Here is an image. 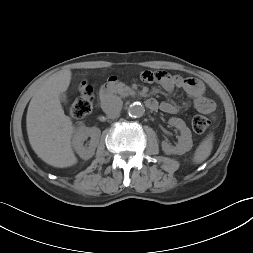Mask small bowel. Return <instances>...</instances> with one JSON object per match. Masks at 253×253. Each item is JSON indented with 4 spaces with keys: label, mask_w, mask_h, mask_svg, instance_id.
I'll use <instances>...</instances> for the list:
<instances>
[{
    "label": "small bowel",
    "mask_w": 253,
    "mask_h": 253,
    "mask_svg": "<svg viewBox=\"0 0 253 253\" xmlns=\"http://www.w3.org/2000/svg\"><path fill=\"white\" fill-rule=\"evenodd\" d=\"M146 82H156L167 92H172L175 88L182 89L192 100V106L200 113L212 114L215 110L213 100L205 95L204 84L196 78H185L180 75H170L167 72L145 71L141 75ZM86 82L81 84V89L86 86ZM186 104L185 106H187ZM160 109L168 114H175L180 111L181 106L172 102L164 101L159 105Z\"/></svg>",
    "instance_id": "1"
}]
</instances>
